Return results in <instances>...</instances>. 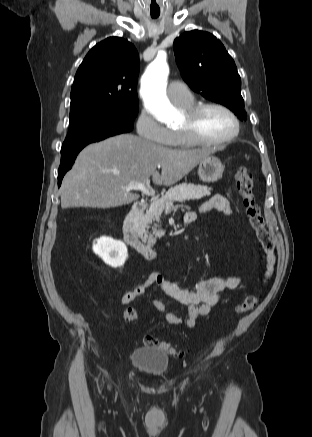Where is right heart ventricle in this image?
Instances as JSON below:
<instances>
[{
	"label": "right heart ventricle",
	"mask_w": 312,
	"mask_h": 437,
	"mask_svg": "<svg viewBox=\"0 0 312 437\" xmlns=\"http://www.w3.org/2000/svg\"><path fill=\"white\" fill-rule=\"evenodd\" d=\"M194 104H195L194 99H192L190 102H188L186 104H179L178 106H180L183 109H188L191 106H193ZM168 145L175 146V147L192 146V144L186 140V138L184 137V135L181 133L180 130L171 131V138H170Z\"/></svg>",
	"instance_id": "obj_1"
}]
</instances>
